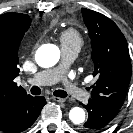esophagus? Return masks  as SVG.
Segmentation results:
<instances>
[{"mask_svg":"<svg viewBox=\"0 0 133 133\" xmlns=\"http://www.w3.org/2000/svg\"><path fill=\"white\" fill-rule=\"evenodd\" d=\"M52 99L55 102H58V103H64L65 102V99L64 98H60V97H53Z\"/></svg>","mask_w":133,"mask_h":133,"instance_id":"1","label":"esophagus"}]
</instances>
